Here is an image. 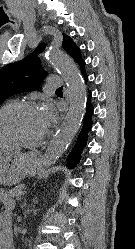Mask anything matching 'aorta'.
<instances>
[{
	"mask_svg": "<svg viewBox=\"0 0 135 249\" xmlns=\"http://www.w3.org/2000/svg\"><path fill=\"white\" fill-rule=\"evenodd\" d=\"M48 60L59 70L69 90V111L43 158L44 168L54 164L66 151L81 126L86 105V86L75 63L60 49L51 47Z\"/></svg>",
	"mask_w": 135,
	"mask_h": 249,
	"instance_id": "aorta-1",
	"label": "aorta"
}]
</instances>
